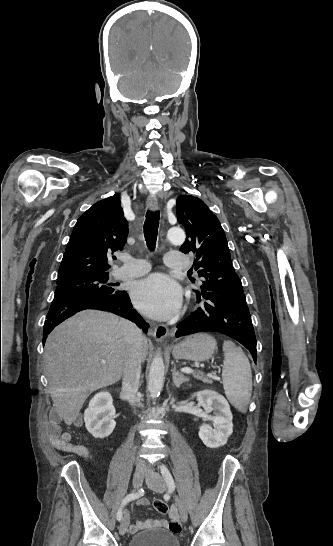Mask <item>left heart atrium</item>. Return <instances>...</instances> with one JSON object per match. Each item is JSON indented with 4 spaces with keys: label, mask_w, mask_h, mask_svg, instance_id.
<instances>
[{
    "label": "left heart atrium",
    "mask_w": 333,
    "mask_h": 546,
    "mask_svg": "<svg viewBox=\"0 0 333 546\" xmlns=\"http://www.w3.org/2000/svg\"><path fill=\"white\" fill-rule=\"evenodd\" d=\"M131 296L141 312L158 320H166L175 315L182 301L179 286L162 273L151 274L134 282Z\"/></svg>",
    "instance_id": "obj_1"
}]
</instances>
